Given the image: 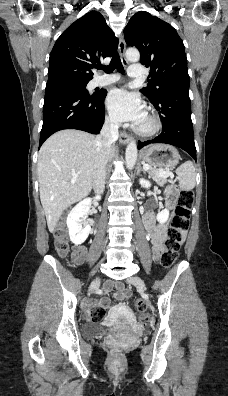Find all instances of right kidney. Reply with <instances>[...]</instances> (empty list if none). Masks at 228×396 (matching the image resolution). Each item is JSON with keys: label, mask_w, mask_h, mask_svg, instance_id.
Returning a JSON list of instances; mask_svg holds the SVG:
<instances>
[{"label": "right kidney", "mask_w": 228, "mask_h": 396, "mask_svg": "<svg viewBox=\"0 0 228 396\" xmlns=\"http://www.w3.org/2000/svg\"><path fill=\"white\" fill-rule=\"evenodd\" d=\"M101 196L94 197V200H100ZM91 198H86L79 202L68 214L66 224L69 231V237L72 243L80 245L85 242L91 232V227L86 221L90 206Z\"/></svg>", "instance_id": "right-kidney-1"}]
</instances>
